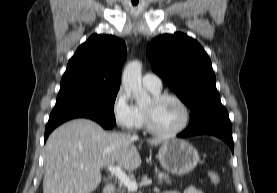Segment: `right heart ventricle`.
<instances>
[{"mask_svg":"<svg viewBox=\"0 0 277 193\" xmlns=\"http://www.w3.org/2000/svg\"><path fill=\"white\" fill-rule=\"evenodd\" d=\"M152 94H158L159 92H155V91H151L149 90ZM138 112L140 114L141 117V126L145 125V119H144V114H143V110L142 109H138Z\"/></svg>","mask_w":277,"mask_h":193,"instance_id":"obj_1","label":"right heart ventricle"}]
</instances>
